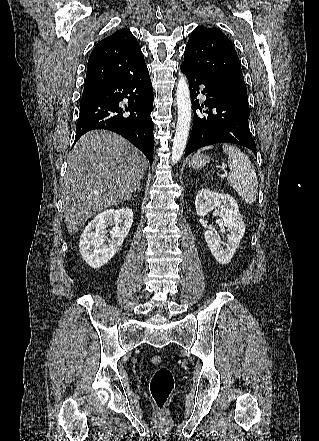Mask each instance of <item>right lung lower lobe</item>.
I'll return each mask as SVG.
<instances>
[{"label":"right lung lower lobe","instance_id":"98d812e1","mask_svg":"<svg viewBox=\"0 0 319 441\" xmlns=\"http://www.w3.org/2000/svg\"><path fill=\"white\" fill-rule=\"evenodd\" d=\"M123 99H128L125 109L119 106ZM153 99L147 67L107 84L81 99L75 142L90 130L107 129L129 140L152 164L154 126L150 113Z\"/></svg>","mask_w":319,"mask_h":441}]
</instances>
